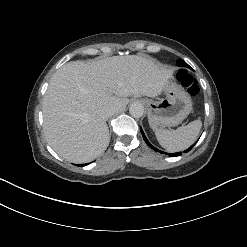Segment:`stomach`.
<instances>
[{
  "instance_id": "obj_1",
  "label": "stomach",
  "mask_w": 247,
  "mask_h": 247,
  "mask_svg": "<svg viewBox=\"0 0 247 247\" xmlns=\"http://www.w3.org/2000/svg\"><path fill=\"white\" fill-rule=\"evenodd\" d=\"M165 98L145 100L151 128L173 127L180 124L192 111L191 97L175 80H168L163 87Z\"/></svg>"
}]
</instances>
